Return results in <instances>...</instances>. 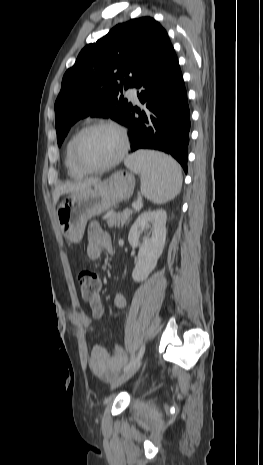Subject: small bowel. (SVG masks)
I'll use <instances>...</instances> for the list:
<instances>
[{"mask_svg": "<svg viewBox=\"0 0 263 465\" xmlns=\"http://www.w3.org/2000/svg\"><path fill=\"white\" fill-rule=\"evenodd\" d=\"M87 256L90 260L100 258L104 250L110 251L112 248V237L97 222H92L88 227ZM114 306L117 309L126 307V298L122 294L114 297ZM91 316L84 319V323L89 325L92 321H98L103 316V305L99 296L89 300ZM126 361V355L122 349L116 346L111 352L102 346H94L89 357V365L94 374L103 380H111L121 369Z\"/></svg>", "mask_w": 263, "mask_h": 465, "instance_id": "c3829d8e", "label": "small bowel"}]
</instances>
